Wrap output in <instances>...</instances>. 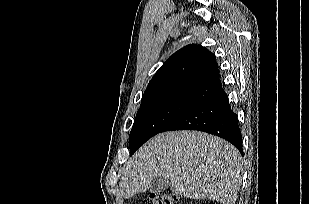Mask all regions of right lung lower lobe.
Wrapping results in <instances>:
<instances>
[{
	"mask_svg": "<svg viewBox=\"0 0 309 204\" xmlns=\"http://www.w3.org/2000/svg\"><path fill=\"white\" fill-rule=\"evenodd\" d=\"M173 130H198L219 136L233 144L243 155L238 118L231 110L224 91L197 103L161 132Z\"/></svg>",
	"mask_w": 309,
	"mask_h": 204,
	"instance_id": "right-lung-lower-lobe-1",
	"label": "right lung lower lobe"
}]
</instances>
